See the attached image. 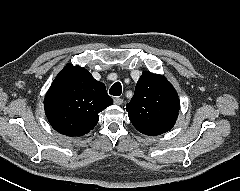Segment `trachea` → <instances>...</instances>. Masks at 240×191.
I'll return each instance as SVG.
<instances>
[{
    "label": "trachea",
    "mask_w": 240,
    "mask_h": 191,
    "mask_svg": "<svg viewBox=\"0 0 240 191\" xmlns=\"http://www.w3.org/2000/svg\"><path fill=\"white\" fill-rule=\"evenodd\" d=\"M109 93L113 96H120L121 93H122V85L120 82H116L114 83L110 90H109Z\"/></svg>",
    "instance_id": "obj_1"
}]
</instances>
